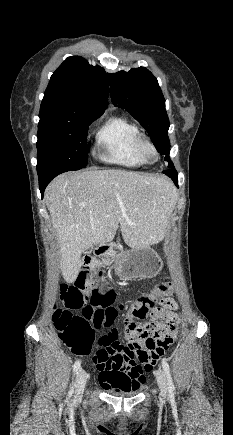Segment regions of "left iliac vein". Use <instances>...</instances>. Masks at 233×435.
Returning a JSON list of instances; mask_svg holds the SVG:
<instances>
[{
    "mask_svg": "<svg viewBox=\"0 0 233 435\" xmlns=\"http://www.w3.org/2000/svg\"><path fill=\"white\" fill-rule=\"evenodd\" d=\"M157 383L159 386V389L161 391V394L163 396L167 395L168 393V384L166 380L165 373L162 369H159L156 373Z\"/></svg>",
    "mask_w": 233,
    "mask_h": 435,
    "instance_id": "1",
    "label": "left iliac vein"
}]
</instances>
